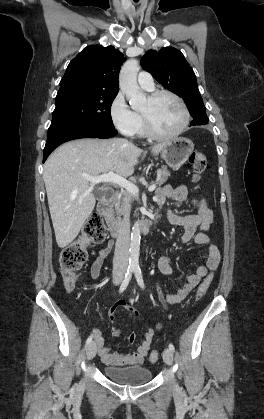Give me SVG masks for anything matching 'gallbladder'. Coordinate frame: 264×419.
<instances>
[{"label":"gallbladder","mask_w":264,"mask_h":419,"mask_svg":"<svg viewBox=\"0 0 264 419\" xmlns=\"http://www.w3.org/2000/svg\"><path fill=\"white\" fill-rule=\"evenodd\" d=\"M95 195H96L97 197H101V195H102V191H101V190H96V191H95Z\"/></svg>","instance_id":"gallbladder-1"}]
</instances>
